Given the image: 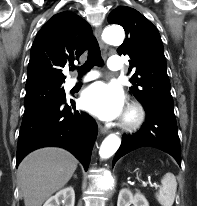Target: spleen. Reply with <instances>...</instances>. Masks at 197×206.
I'll use <instances>...</instances> for the list:
<instances>
[{"label":"spleen","instance_id":"obj_1","mask_svg":"<svg viewBox=\"0 0 197 206\" xmlns=\"http://www.w3.org/2000/svg\"><path fill=\"white\" fill-rule=\"evenodd\" d=\"M161 184V188L156 193V199L162 206H172L177 191L176 177L168 172L162 178Z\"/></svg>","mask_w":197,"mask_h":206}]
</instances>
